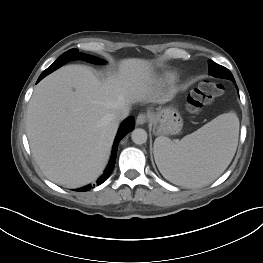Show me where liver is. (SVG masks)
<instances>
[{
    "instance_id": "obj_1",
    "label": "liver",
    "mask_w": 263,
    "mask_h": 263,
    "mask_svg": "<svg viewBox=\"0 0 263 263\" xmlns=\"http://www.w3.org/2000/svg\"><path fill=\"white\" fill-rule=\"evenodd\" d=\"M147 60L120 61L118 72L100 81L83 65L64 66L45 77L30 99L26 127L32 155L52 182L77 188L103 172L119 122L112 113L136 102L163 103L152 89Z\"/></svg>"
}]
</instances>
